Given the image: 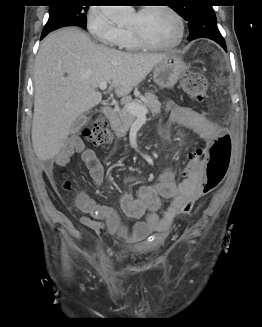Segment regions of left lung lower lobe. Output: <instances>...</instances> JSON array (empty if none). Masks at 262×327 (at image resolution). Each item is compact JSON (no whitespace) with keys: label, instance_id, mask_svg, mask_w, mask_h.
Here are the masks:
<instances>
[{"label":"left lung lower lobe","instance_id":"obj_1","mask_svg":"<svg viewBox=\"0 0 262 327\" xmlns=\"http://www.w3.org/2000/svg\"><path fill=\"white\" fill-rule=\"evenodd\" d=\"M216 26H217V24H216ZM201 37L216 41L227 52L226 43H225L224 38L222 37L218 27L204 28V31L203 30H198V31L191 30L188 40L191 41V40L201 38Z\"/></svg>","mask_w":262,"mask_h":327}]
</instances>
